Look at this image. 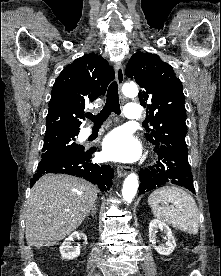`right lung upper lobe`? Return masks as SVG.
I'll return each instance as SVG.
<instances>
[{"label": "right lung upper lobe", "mask_w": 221, "mask_h": 276, "mask_svg": "<svg viewBox=\"0 0 221 276\" xmlns=\"http://www.w3.org/2000/svg\"><path fill=\"white\" fill-rule=\"evenodd\" d=\"M114 77L113 68L94 53L67 65L53 85L45 134L79 133L85 106L104 95Z\"/></svg>", "instance_id": "obj_1"}]
</instances>
